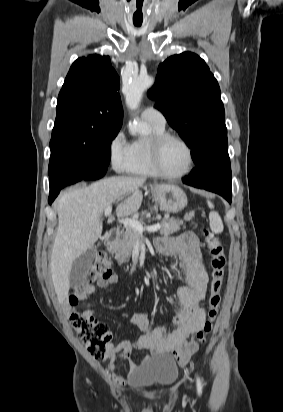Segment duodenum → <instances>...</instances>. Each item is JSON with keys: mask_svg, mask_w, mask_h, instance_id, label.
Masks as SVG:
<instances>
[{"mask_svg": "<svg viewBox=\"0 0 283 412\" xmlns=\"http://www.w3.org/2000/svg\"><path fill=\"white\" fill-rule=\"evenodd\" d=\"M119 236V229L116 227L110 228L108 233H107V237H106V244L107 245H113Z\"/></svg>", "mask_w": 283, "mask_h": 412, "instance_id": "1", "label": "duodenum"}]
</instances>
